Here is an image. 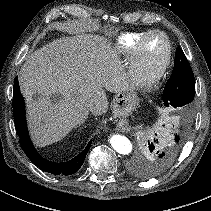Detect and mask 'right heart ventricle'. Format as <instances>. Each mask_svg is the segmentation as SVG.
I'll use <instances>...</instances> for the list:
<instances>
[{"label":"right heart ventricle","mask_w":211,"mask_h":211,"mask_svg":"<svg viewBox=\"0 0 211 211\" xmlns=\"http://www.w3.org/2000/svg\"><path fill=\"white\" fill-rule=\"evenodd\" d=\"M149 31L126 32L117 39L115 50L124 58L131 59L138 40Z\"/></svg>","instance_id":"e07e8e85"}]
</instances>
